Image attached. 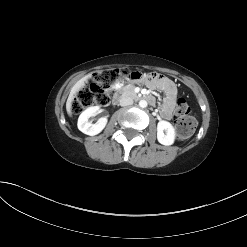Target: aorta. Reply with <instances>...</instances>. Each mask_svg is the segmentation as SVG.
<instances>
[{"label":"aorta","mask_w":247,"mask_h":247,"mask_svg":"<svg viewBox=\"0 0 247 247\" xmlns=\"http://www.w3.org/2000/svg\"><path fill=\"white\" fill-rule=\"evenodd\" d=\"M147 101L146 100H140L139 101V106L141 107V108H146L147 107Z\"/></svg>","instance_id":"obj_1"}]
</instances>
